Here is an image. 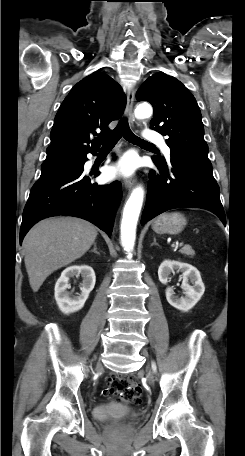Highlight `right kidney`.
Instances as JSON below:
<instances>
[{
	"label": "right kidney",
	"instance_id": "right-kidney-1",
	"mask_svg": "<svg viewBox=\"0 0 245 456\" xmlns=\"http://www.w3.org/2000/svg\"><path fill=\"white\" fill-rule=\"evenodd\" d=\"M83 278L80 287V294L73 296L67 291L69 288V279L74 276ZM96 276L94 270L88 265H73L67 267L55 284V300L61 312L64 314L74 313L83 308L90 292L95 286Z\"/></svg>",
	"mask_w": 245,
	"mask_h": 456
}]
</instances>
